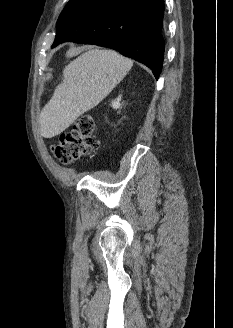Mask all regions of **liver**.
<instances>
[{
    "mask_svg": "<svg viewBox=\"0 0 233 328\" xmlns=\"http://www.w3.org/2000/svg\"><path fill=\"white\" fill-rule=\"evenodd\" d=\"M132 60L113 50L89 49L63 70V78L39 117L41 135L52 138L98 105L126 76Z\"/></svg>",
    "mask_w": 233,
    "mask_h": 328,
    "instance_id": "obj_1",
    "label": "liver"
}]
</instances>
